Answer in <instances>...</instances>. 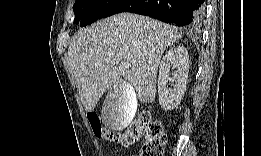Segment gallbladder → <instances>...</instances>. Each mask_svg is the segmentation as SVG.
Returning a JSON list of instances; mask_svg holds the SVG:
<instances>
[{"label": "gallbladder", "mask_w": 261, "mask_h": 156, "mask_svg": "<svg viewBox=\"0 0 261 156\" xmlns=\"http://www.w3.org/2000/svg\"><path fill=\"white\" fill-rule=\"evenodd\" d=\"M111 93H108L101 107V118L105 126L113 130L129 127L135 117L138 100L132 85L127 80H118Z\"/></svg>", "instance_id": "gallbladder-1"}]
</instances>
